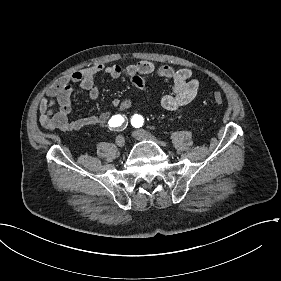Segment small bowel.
<instances>
[{"instance_id":"c3829d8e","label":"small bowel","mask_w":281,"mask_h":281,"mask_svg":"<svg viewBox=\"0 0 281 281\" xmlns=\"http://www.w3.org/2000/svg\"><path fill=\"white\" fill-rule=\"evenodd\" d=\"M124 73L130 78L133 86L140 90L146 88L143 79L145 76L155 74L172 79L173 93L163 95L160 99L162 108L172 114H179L190 105L195 100L199 87L198 80L193 78L191 71L186 68L176 70L167 65L157 67L148 60L129 64L125 68L119 65L97 64L63 76L48 90L47 97L42 98L39 103L41 125L48 130L78 131L89 126L106 124L112 117L109 111H103L99 115L69 119L72 93L78 87L86 90L91 100H96L100 95L94 83L97 75L105 74L118 79ZM56 104L58 109H56ZM112 106L124 112L130 108L131 100L115 98L112 100Z\"/></svg>"}]
</instances>
